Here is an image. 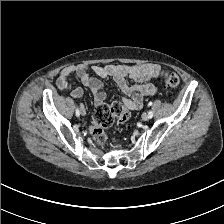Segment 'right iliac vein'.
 I'll return each instance as SVG.
<instances>
[{"label":"right iliac vein","mask_w":224,"mask_h":224,"mask_svg":"<svg viewBox=\"0 0 224 224\" xmlns=\"http://www.w3.org/2000/svg\"><path fill=\"white\" fill-rule=\"evenodd\" d=\"M80 112H81V114H82V115H85V114H86V111H85V109H84V107H83V106L81 107Z\"/></svg>","instance_id":"right-iliac-vein-1"}]
</instances>
